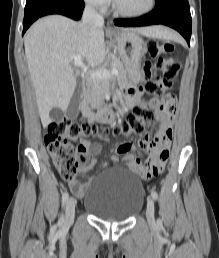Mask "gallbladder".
Returning a JSON list of instances; mask_svg holds the SVG:
<instances>
[{"label": "gallbladder", "instance_id": "gallbladder-1", "mask_svg": "<svg viewBox=\"0 0 219 258\" xmlns=\"http://www.w3.org/2000/svg\"><path fill=\"white\" fill-rule=\"evenodd\" d=\"M81 95H82L81 81H77L74 94L71 98V101L66 111V115L69 119H76L78 117L80 112Z\"/></svg>", "mask_w": 219, "mask_h": 258}]
</instances>
